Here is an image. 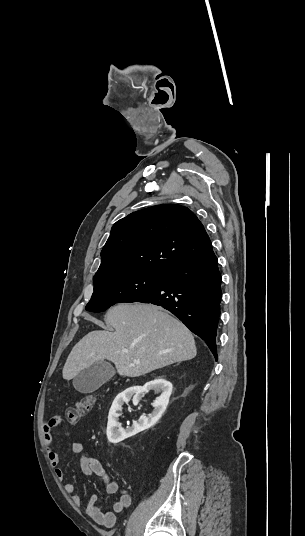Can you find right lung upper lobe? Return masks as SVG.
Wrapping results in <instances>:
<instances>
[{"mask_svg": "<svg viewBox=\"0 0 305 536\" xmlns=\"http://www.w3.org/2000/svg\"><path fill=\"white\" fill-rule=\"evenodd\" d=\"M213 251L202 223L187 207L166 204L142 209L117 221L101 251L94 280L130 272H164Z\"/></svg>", "mask_w": 305, "mask_h": 536, "instance_id": "right-lung-upper-lobe-1", "label": "right lung upper lobe"}]
</instances>
